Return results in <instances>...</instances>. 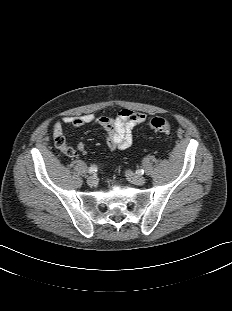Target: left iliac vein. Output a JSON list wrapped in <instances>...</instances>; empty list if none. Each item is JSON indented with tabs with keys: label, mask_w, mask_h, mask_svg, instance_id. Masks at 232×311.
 <instances>
[{
	"label": "left iliac vein",
	"mask_w": 232,
	"mask_h": 311,
	"mask_svg": "<svg viewBox=\"0 0 232 311\" xmlns=\"http://www.w3.org/2000/svg\"><path fill=\"white\" fill-rule=\"evenodd\" d=\"M125 175H126L128 180H130L132 183H134L136 185L141 186V185H144L146 182V179L143 176H137L130 170H127L125 172Z\"/></svg>",
	"instance_id": "left-iliac-vein-1"
}]
</instances>
